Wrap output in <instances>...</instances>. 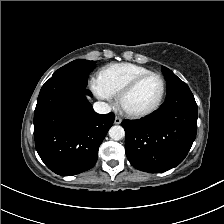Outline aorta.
I'll return each mask as SVG.
<instances>
[{"instance_id":"1","label":"aorta","mask_w":224,"mask_h":224,"mask_svg":"<svg viewBox=\"0 0 224 224\" xmlns=\"http://www.w3.org/2000/svg\"><path fill=\"white\" fill-rule=\"evenodd\" d=\"M109 136L112 140L118 141L125 137V131L122 126L115 125L110 128Z\"/></svg>"}]
</instances>
